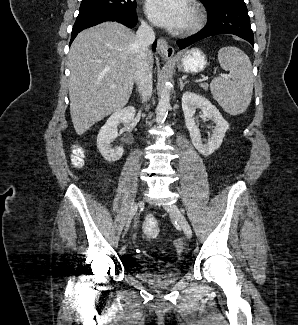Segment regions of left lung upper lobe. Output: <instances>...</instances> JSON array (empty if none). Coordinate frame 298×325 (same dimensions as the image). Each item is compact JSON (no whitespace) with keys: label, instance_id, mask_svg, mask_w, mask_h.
I'll use <instances>...</instances> for the list:
<instances>
[{"label":"left lung upper lobe","instance_id":"5c2ea615","mask_svg":"<svg viewBox=\"0 0 298 325\" xmlns=\"http://www.w3.org/2000/svg\"><path fill=\"white\" fill-rule=\"evenodd\" d=\"M208 8V10H212L224 3L230 2L232 0H201Z\"/></svg>","mask_w":298,"mask_h":325}]
</instances>
